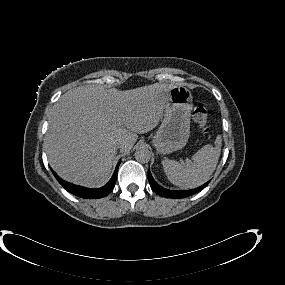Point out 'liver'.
I'll return each instance as SVG.
<instances>
[{"label":"liver","mask_w":285,"mask_h":285,"mask_svg":"<svg viewBox=\"0 0 285 285\" xmlns=\"http://www.w3.org/2000/svg\"><path fill=\"white\" fill-rule=\"evenodd\" d=\"M172 84L155 83L131 90L76 87L63 94L48 118L45 147L53 170L86 187L104 185L111 173L116 143L128 152L138 133L153 130Z\"/></svg>","instance_id":"6515ba94"}]
</instances>
